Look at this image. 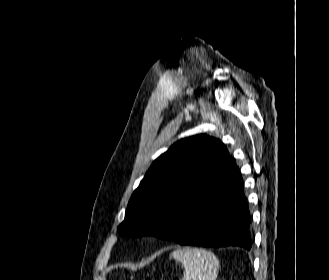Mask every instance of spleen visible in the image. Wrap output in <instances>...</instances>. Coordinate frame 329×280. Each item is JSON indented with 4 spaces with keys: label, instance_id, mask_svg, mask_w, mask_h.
Returning a JSON list of instances; mask_svg holds the SVG:
<instances>
[{
    "label": "spleen",
    "instance_id": "3e777b00",
    "mask_svg": "<svg viewBox=\"0 0 329 280\" xmlns=\"http://www.w3.org/2000/svg\"><path fill=\"white\" fill-rule=\"evenodd\" d=\"M181 263L184 268L182 280H216L219 260L210 251L185 247L170 254V259Z\"/></svg>",
    "mask_w": 329,
    "mask_h": 280
}]
</instances>
